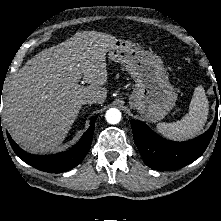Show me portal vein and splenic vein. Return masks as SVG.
I'll use <instances>...</instances> for the list:
<instances>
[{
  "label": "portal vein and splenic vein",
  "instance_id": "portal-vein-and-splenic-vein-1",
  "mask_svg": "<svg viewBox=\"0 0 221 221\" xmlns=\"http://www.w3.org/2000/svg\"><path fill=\"white\" fill-rule=\"evenodd\" d=\"M76 77H77L78 79H80V78H81V73L79 72V70H78V69H76Z\"/></svg>",
  "mask_w": 221,
  "mask_h": 221
}]
</instances>
